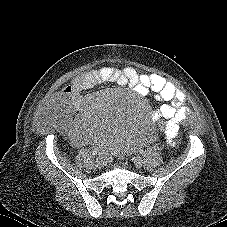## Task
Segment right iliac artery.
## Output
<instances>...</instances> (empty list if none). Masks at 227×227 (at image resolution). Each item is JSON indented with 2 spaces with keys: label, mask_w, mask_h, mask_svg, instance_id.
Wrapping results in <instances>:
<instances>
[{
  "label": "right iliac artery",
  "mask_w": 227,
  "mask_h": 227,
  "mask_svg": "<svg viewBox=\"0 0 227 227\" xmlns=\"http://www.w3.org/2000/svg\"><path fill=\"white\" fill-rule=\"evenodd\" d=\"M93 154H94V155H99V156H100L102 153H101L99 150H96V151H93Z\"/></svg>",
  "instance_id": "1"
}]
</instances>
